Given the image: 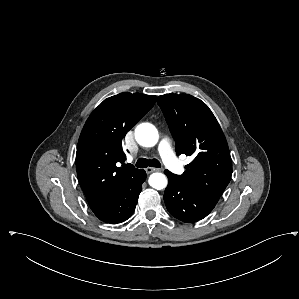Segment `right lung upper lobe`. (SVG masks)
Returning a JSON list of instances; mask_svg holds the SVG:
<instances>
[{
    "mask_svg": "<svg viewBox=\"0 0 299 299\" xmlns=\"http://www.w3.org/2000/svg\"><path fill=\"white\" fill-rule=\"evenodd\" d=\"M156 96L123 92L104 100L81 132L76 170L79 184L95 211L107 202L139 169L122 164V140L153 107Z\"/></svg>",
    "mask_w": 299,
    "mask_h": 299,
    "instance_id": "obj_1",
    "label": "right lung upper lobe"
}]
</instances>
